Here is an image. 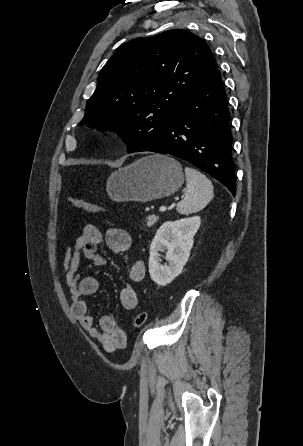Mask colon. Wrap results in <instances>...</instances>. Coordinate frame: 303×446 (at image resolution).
Segmentation results:
<instances>
[{
	"label": "colon",
	"instance_id": "obj_1",
	"mask_svg": "<svg viewBox=\"0 0 303 446\" xmlns=\"http://www.w3.org/2000/svg\"><path fill=\"white\" fill-rule=\"evenodd\" d=\"M69 202L73 207L83 210L87 213L97 214V213L103 212V209H101L97 205L90 203L88 201H85L79 197H70ZM146 320H147L146 312L138 313L134 319V322H133L134 327L141 328L145 324Z\"/></svg>",
	"mask_w": 303,
	"mask_h": 446
}]
</instances>
